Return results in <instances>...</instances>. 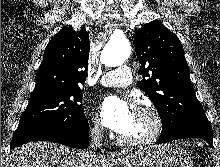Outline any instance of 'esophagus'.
<instances>
[{
  "label": "esophagus",
  "mask_w": 220,
  "mask_h": 167,
  "mask_svg": "<svg viewBox=\"0 0 220 167\" xmlns=\"http://www.w3.org/2000/svg\"><path fill=\"white\" fill-rule=\"evenodd\" d=\"M107 157H108V159H110V160H117V159L120 158L119 154H118L117 152H114V151H109V152L107 153Z\"/></svg>",
  "instance_id": "34e87169"
}]
</instances>
